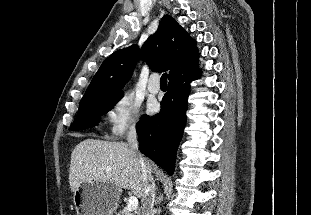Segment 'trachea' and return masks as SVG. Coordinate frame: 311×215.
Masks as SVG:
<instances>
[{
    "instance_id": "obj_1",
    "label": "trachea",
    "mask_w": 311,
    "mask_h": 215,
    "mask_svg": "<svg viewBox=\"0 0 311 215\" xmlns=\"http://www.w3.org/2000/svg\"><path fill=\"white\" fill-rule=\"evenodd\" d=\"M160 84H161V85H167V73H164V74L161 76Z\"/></svg>"
}]
</instances>
